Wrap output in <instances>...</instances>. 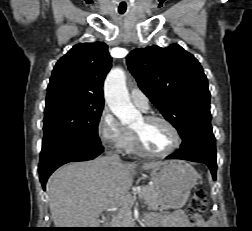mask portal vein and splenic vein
Segmentation results:
<instances>
[{"label":"portal vein and splenic vein","instance_id":"portal-vein-and-splenic-vein-1","mask_svg":"<svg viewBox=\"0 0 252 231\" xmlns=\"http://www.w3.org/2000/svg\"><path fill=\"white\" fill-rule=\"evenodd\" d=\"M144 189V188H143ZM142 189V190H143ZM142 190L140 191V192H142ZM139 192V193H140ZM124 202H132V198H130V197H125V198H123V200H122V203H124Z\"/></svg>","mask_w":252,"mask_h":231}]
</instances>
